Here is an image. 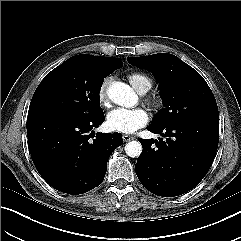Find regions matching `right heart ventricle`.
Wrapping results in <instances>:
<instances>
[{"mask_svg":"<svg viewBox=\"0 0 241 241\" xmlns=\"http://www.w3.org/2000/svg\"><path fill=\"white\" fill-rule=\"evenodd\" d=\"M127 79L140 94L146 93L153 85L152 79L142 72H131L127 75Z\"/></svg>","mask_w":241,"mask_h":241,"instance_id":"1","label":"right heart ventricle"}]
</instances>
